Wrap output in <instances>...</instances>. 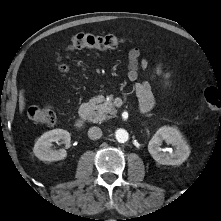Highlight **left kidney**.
Wrapping results in <instances>:
<instances>
[{
    "label": "left kidney",
    "instance_id": "obj_1",
    "mask_svg": "<svg viewBox=\"0 0 221 221\" xmlns=\"http://www.w3.org/2000/svg\"><path fill=\"white\" fill-rule=\"evenodd\" d=\"M163 141L171 144L174 150L165 151L160 146ZM148 151L153 159L162 165H180L190 154V147L177 128L160 127L148 144Z\"/></svg>",
    "mask_w": 221,
    "mask_h": 221
}]
</instances>
